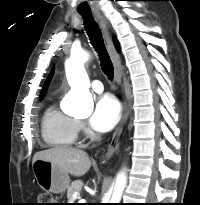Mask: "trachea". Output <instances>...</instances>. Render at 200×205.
<instances>
[{"mask_svg": "<svg viewBox=\"0 0 200 205\" xmlns=\"http://www.w3.org/2000/svg\"><path fill=\"white\" fill-rule=\"evenodd\" d=\"M81 15L83 17L85 30L91 44L98 52L102 71L110 80H112L114 75L113 64L104 46L101 30L91 13H81Z\"/></svg>", "mask_w": 200, "mask_h": 205, "instance_id": "3493384b", "label": "trachea"}]
</instances>
